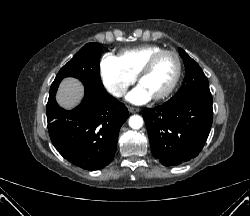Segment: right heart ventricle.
<instances>
[{
	"mask_svg": "<svg viewBox=\"0 0 250 216\" xmlns=\"http://www.w3.org/2000/svg\"><path fill=\"white\" fill-rule=\"evenodd\" d=\"M163 50L157 45H144L125 49L120 52L118 59L122 66L133 76H137L152 55Z\"/></svg>",
	"mask_w": 250,
	"mask_h": 216,
	"instance_id": "1",
	"label": "right heart ventricle"
}]
</instances>
